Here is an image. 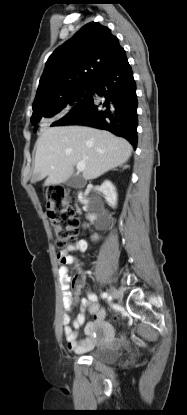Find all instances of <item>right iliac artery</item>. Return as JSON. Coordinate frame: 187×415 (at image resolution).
Segmentation results:
<instances>
[{"instance_id": "82829eb1", "label": "right iliac artery", "mask_w": 187, "mask_h": 415, "mask_svg": "<svg viewBox=\"0 0 187 415\" xmlns=\"http://www.w3.org/2000/svg\"><path fill=\"white\" fill-rule=\"evenodd\" d=\"M102 298L104 299V298H107L108 297V294L106 293V292H104V293H102Z\"/></svg>"}]
</instances>
